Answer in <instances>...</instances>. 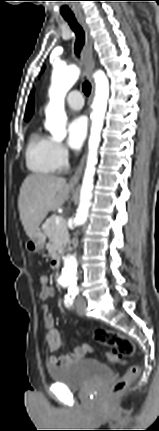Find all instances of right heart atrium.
Masks as SVG:
<instances>
[{"label": "right heart atrium", "mask_w": 159, "mask_h": 431, "mask_svg": "<svg viewBox=\"0 0 159 431\" xmlns=\"http://www.w3.org/2000/svg\"><path fill=\"white\" fill-rule=\"evenodd\" d=\"M51 153L54 163L58 169H61L67 165L69 152L67 147L62 142L51 140Z\"/></svg>", "instance_id": "right-heart-atrium-1"}]
</instances>
